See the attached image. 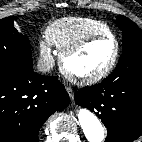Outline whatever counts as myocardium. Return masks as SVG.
<instances>
[{
  "mask_svg": "<svg viewBox=\"0 0 142 142\" xmlns=\"http://www.w3.org/2000/svg\"><path fill=\"white\" fill-rule=\"evenodd\" d=\"M104 39H110L115 44L114 56L111 59V61L109 62V64L104 69H102L101 71H99L95 74L88 75V76H79V75H76V74L70 72L67 69L66 61H67L68 58L79 53L80 51L85 49L91 43H93L95 41H99V40H104ZM120 53H121L120 43H119V41H118V39L116 38L115 35H113V34L91 35V36H88V37L80 40L79 42L75 43L71 47H69L66 50H64L63 52H61V54H60V67H61V70L63 71V73L68 78H70V79H72V80H74V81H76L80 84H85V85L94 84V83H97V82L103 80L105 77H107L113 71V69L115 68V66L118 63Z\"/></svg>",
  "mask_w": 142,
  "mask_h": 142,
  "instance_id": "myocardium-1",
  "label": "myocardium"
}]
</instances>
